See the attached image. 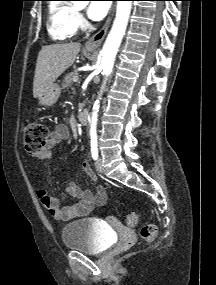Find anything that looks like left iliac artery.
Returning a JSON list of instances; mask_svg holds the SVG:
<instances>
[{"label":"left iliac artery","mask_w":216,"mask_h":285,"mask_svg":"<svg viewBox=\"0 0 216 285\" xmlns=\"http://www.w3.org/2000/svg\"><path fill=\"white\" fill-rule=\"evenodd\" d=\"M91 154L94 160L98 159L97 135L95 133L91 134Z\"/></svg>","instance_id":"obj_1"}]
</instances>
